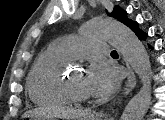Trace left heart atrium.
Instances as JSON below:
<instances>
[{"mask_svg":"<svg viewBox=\"0 0 165 120\" xmlns=\"http://www.w3.org/2000/svg\"><path fill=\"white\" fill-rule=\"evenodd\" d=\"M118 83L119 75L115 68L101 60H96L90 65L87 84L93 95L107 97L116 90Z\"/></svg>","mask_w":165,"mask_h":120,"instance_id":"1","label":"left heart atrium"}]
</instances>
